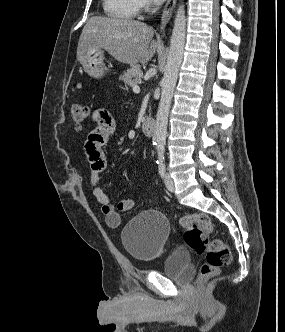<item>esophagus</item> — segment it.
<instances>
[{
	"instance_id": "obj_1",
	"label": "esophagus",
	"mask_w": 285,
	"mask_h": 332,
	"mask_svg": "<svg viewBox=\"0 0 285 332\" xmlns=\"http://www.w3.org/2000/svg\"><path fill=\"white\" fill-rule=\"evenodd\" d=\"M175 4H176V0L167 1L166 5L164 7L163 13H162V17H161L160 32H163L165 30L167 23L171 19Z\"/></svg>"
}]
</instances>
